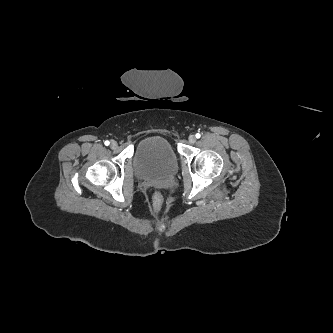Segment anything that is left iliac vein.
<instances>
[{"mask_svg": "<svg viewBox=\"0 0 333 333\" xmlns=\"http://www.w3.org/2000/svg\"><path fill=\"white\" fill-rule=\"evenodd\" d=\"M189 142L192 143V144L196 142V137H195V135H190V136H189Z\"/></svg>", "mask_w": 333, "mask_h": 333, "instance_id": "obj_1", "label": "left iliac vein"}]
</instances>
